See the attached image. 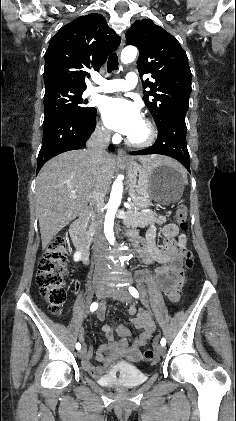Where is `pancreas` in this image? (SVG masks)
Returning <instances> with one entry per match:
<instances>
[{
	"label": "pancreas",
	"mask_w": 236,
	"mask_h": 421,
	"mask_svg": "<svg viewBox=\"0 0 236 421\" xmlns=\"http://www.w3.org/2000/svg\"><path fill=\"white\" fill-rule=\"evenodd\" d=\"M131 205H133V202H130ZM171 215V211H168L166 217H169ZM166 217H158L156 213H138V211H132V208H128V211L125 213V219H123V225H126V227H131V229H134V227H147V225H152V223H159V225H163V223H166ZM86 233L87 235H92L94 233V225L90 219L87 227H86Z\"/></svg>",
	"instance_id": "1"
}]
</instances>
